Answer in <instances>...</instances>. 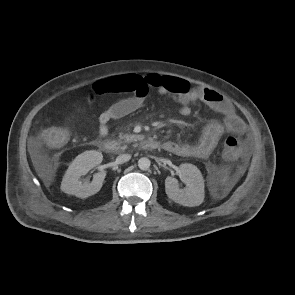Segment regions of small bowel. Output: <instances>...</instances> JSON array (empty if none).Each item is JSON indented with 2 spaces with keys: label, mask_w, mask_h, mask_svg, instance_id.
<instances>
[{
  "label": "small bowel",
  "mask_w": 295,
  "mask_h": 295,
  "mask_svg": "<svg viewBox=\"0 0 295 295\" xmlns=\"http://www.w3.org/2000/svg\"><path fill=\"white\" fill-rule=\"evenodd\" d=\"M150 89L172 97L180 105L182 116H189L192 112V104L200 101L223 117L222 121L210 122L195 143L165 141L162 148L168 152L184 157L205 159L211 155L224 134L241 135L245 132L244 121L237 115L234 107L216 91L203 87H191L187 81L180 78L151 74L113 76L98 80L91 85V94L97 96L120 92L131 94L115 102L99 115V136L104 138L108 135L110 121L123 118L138 110Z\"/></svg>",
  "instance_id": "c3829d8e"
}]
</instances>
